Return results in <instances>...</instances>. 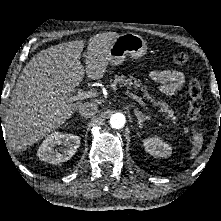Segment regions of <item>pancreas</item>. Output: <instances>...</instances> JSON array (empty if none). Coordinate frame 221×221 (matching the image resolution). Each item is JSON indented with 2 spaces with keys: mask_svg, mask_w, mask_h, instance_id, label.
<instances>
[{
  "mask_svg": "<svg viewBox=\"0 0 221 221\" xmlns=\"http://www.w3.org/2000/svg\"><path fill=\"white\" fill-rule=\"evenodd\" d=\"M111 88H115L117 84H120V86H126L128 88L130 87H140L142 84L139 80H136L135 78H127L124 75L118 76L115 75L113 79H111ZM141 91L143 92L144 97L154 102L156 106H159L160 111L163 113H166V118L168 120L173 121L175 123L176 117L174 115V111L169 107V105L164 101H155V99L147 92V88L143 86L141 88Z\"/></svg>",
  "mask_w": 221,
  "mask_h": 221,
  "instance_id": "1",
  "label": "pancreas"
}]
</instances>
